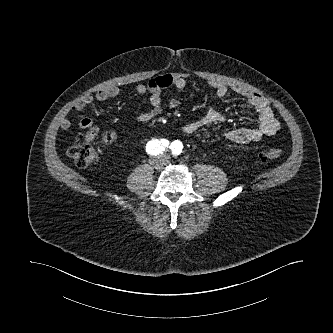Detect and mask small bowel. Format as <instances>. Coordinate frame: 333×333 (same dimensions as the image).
<instances>
[{"instance_id":"small-bowel-1","label":"small bowel","mask_w":333,"mask_h":333,"mask_svg":"<svg viewBox=\"0 0 333 333\" xmlns=\"http://www.w3.org/2000/svg\"><path fill=\"white\" fill-rule=\"evenodd\" d=\"M187 80L181 73H166L151 79L146 85L138 84L135 91L139 95L149 96V108L139 114L138 120L140 122H149L154 117L162 112V92L169 88L182 90L186 87ZM218 98H223L228 93V86L216 81H209ZM234 92L247 100L258 115V126L256 128H237L231 130L226 139L236 144H246L249 142H257L264 136H273L280 129V123L275 117L273 110L268 104L267 100L256 92L249 91L243 87H235ZM121 90L118 87H108L96 92L93 96L91 94L84 95L71 107V112L78 113L83 111L94 100L104 102L108 99L119 97ZM178 105V100L172 98L169 101V106L174 108ZM224 120L223 114L217 109L208 110L205 114L197 119L186 123L182 127L184 133L190 134L200 129H207L210 126L218 125ZM60 127L68 129L71 126V121L67 117L60 120ZM79 126L82 129H87L86 135H90L96 131L95 122L91 117H83L79 121Z\"/></svg>"}]
</instances>
